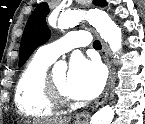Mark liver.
<instances>
[{
    "instance_id": "6515ba94",
    "label": "liver",
    "mask_w": 145,
    "mask_h": 124,
    "mask_svg": "<svg viewBox=\"0 0 145 124\" xmlns=\"http://www.w3.org/2000/svg\"><path fill=\"white\" fill-rule=\"evenodd\" d=\"M27 124H68L67 118H50V119H36L32 122L26 121Z\"/></svg>"
}]
</instances>
